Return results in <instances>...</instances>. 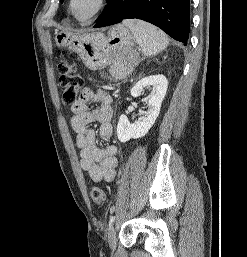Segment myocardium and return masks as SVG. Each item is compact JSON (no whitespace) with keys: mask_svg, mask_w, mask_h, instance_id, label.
<instances>
[{"mask_svg":"<svg viewBox=\"0 0 247 257\" xmlns=\"http://www.w3.org/2000/svg\"><path fill=\"white\" fill-rule=\"evenodd\" d=\"M75 0H68L67 4V10L69 15L80 25L86 26L91 24L100 14L101 12L105 9L108 0H96V5L94 10L91 12L89 16L86 18H80L79 16L76 15L73 9V4Z\"/></svg>","mask_w":247,"mask_h":257,"instance_id":"f54148a6","label":"myocardium"}]
</instances>
